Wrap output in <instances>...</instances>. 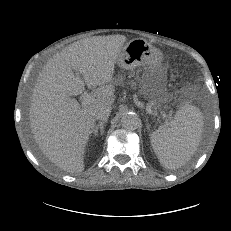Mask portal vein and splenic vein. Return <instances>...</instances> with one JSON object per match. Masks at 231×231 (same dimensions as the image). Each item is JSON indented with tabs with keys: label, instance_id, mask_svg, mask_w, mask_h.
<instances>
[{
	"label": "portal vein and splenic vein",
	"instance_id": "portal-vein-and-splenic-vein-1",
	"mask_svg": "<svg viewBox=\"0 0 231 231\" xmlns=\"http://www.w3.org/2000/svg\"><path fill=\"white\" fill-rule=\"evenodd\" d=\"M94 99H95L94 95L87 93L83 95L81 105L82 106L89 105L94 101Z\"/></svg>",
	"mask_w": 231,
	"mask_h": 231
}]
</instances>
